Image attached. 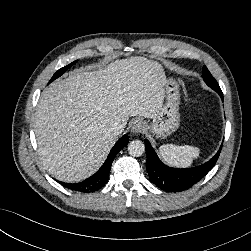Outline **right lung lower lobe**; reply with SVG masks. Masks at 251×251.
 Instances as JSON below:
<instances>
[{"label":"right lung lower lobe","mask_w":251,"mask_h":251,"mask_svg":"<svg viewBox=\"0 0 251 251\" xmlns=\"http://www.w3.org/2000/svg\"><path fill=\"white\" fill-rule=\"evenodd\" d=\"M128 141L129 140L126 135L122 136L111 149L106 161L101 168L91 177L79 183H59L70 190L79 192H95L101 189L108 181L109 172L114 158L116 157L117 153L128 144Z\"/></svg>","instance_id":"98d812e1"}]
</instances>
